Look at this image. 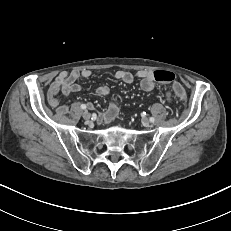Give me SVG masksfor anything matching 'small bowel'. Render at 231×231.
I'll list each match as a JSON object with an SVG mask.
<instances>
[{"label":"small bowel","mask_w":231,"mask_h":231,"mask_svg":"<svg viewBox=\"0 0 231 231\" xmlns=\"http://www.w3.org/2000/svg\"><path fill=\"white\" fill-rule=\"evenodd\" d=\"M92 75L91 70H73L71 72H61L57 75L55 80L50 86L49 90V102L52 107H55L60 114H65L68 111L66 105L59 104V94L69 96L72 93H76L82 90V86L77 83L80 78H89ZM136 77L140 80V86L144 91H152L155 88L153 71L139 70L136 73ZM114 78L122 81L126 84H130L134 81L135 76L126 70H118L114 73ZM109 88L107 86H100L96 89V93L100 96L109 95ZM170 99V95H168ZM88 107L92 108V104L88 103ZM118 114V106L115 100H111L107 109L100 114L99 120L103 123L112 122Z\"/></svg>","instance_id":"small-bowel-1"}]
</instances>
